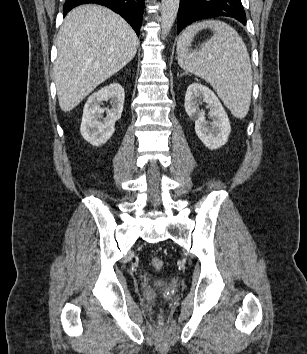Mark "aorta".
Instances as JSON below:
<instances>
[{
  "label": "aorta",
  "instance_id": "762f6f07",
  "mask_svg": "<svg viewBox=\"0 0 307 354\" xmlns=\"http://www.w3.org/2000/svg\"><path fill=\"white\" fill-rule=\"evenodd\" d=\"M161 3L162 37L165 38L177 17L180 0H161Z\"/></svg>",
  "mask_w": 307,
  "mask_h": 354
}]
</instances>
